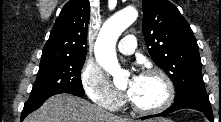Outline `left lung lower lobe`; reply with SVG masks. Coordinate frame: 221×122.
<instances>
[{"instance_id": "0a47b994", "label": "left lung lower lobe", "mask_w": 221, "mask_h": 122, "mask_svg": "<svg viewBox=\"0 0 221 122\" xmlns=\"http://www.w3.org/2000/svg\"><path fill=\"white\" fill-rule=\"evenodd\" d=\"M184 108L198 110L204 113L205 116L210 121H213L212 109H211V105H210V101H209L207 93L187 95L181 99L175 100V103L172 106H170L168 109L163 111L162 113L151 115V116H145V117H142V119L163 116V115H166L171 112L184 109Z\"/></svg>"}]
</instances>
